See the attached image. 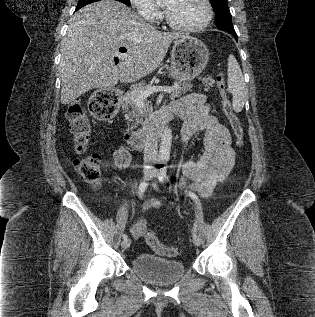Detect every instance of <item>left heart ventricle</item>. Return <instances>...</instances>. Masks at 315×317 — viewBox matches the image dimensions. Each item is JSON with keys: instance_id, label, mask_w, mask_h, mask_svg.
I'll return each instance as SVG.
<instances>
[{"instance_id": "obj_1", "label": "left heart ventricle", "mask_w": 315, "mask_h": 317, "mask_svg": "<svg viewBox=\"0 0 315 317\" xmlns=\"http://www.w3.org/2000/svg\"><path fill=\"white\" fill-rule=\"evenodd\" d=\"M163 7L168 15L181 25H198L206 17L203 0H165Z\"/></svg>"}]
</instances>
